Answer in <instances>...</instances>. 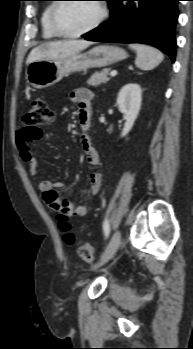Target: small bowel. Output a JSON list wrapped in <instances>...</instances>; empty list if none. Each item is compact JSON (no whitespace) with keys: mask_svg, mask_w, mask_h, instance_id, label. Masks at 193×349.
<instances>
[{"mask_svg":"<svg viewBox=\"0 0 193 349\" xmlns=\"http://www.w3.org/2000/svg\"><path fill=\"white\" fill-rule=\"evenodd\" d=\"M70 99L78 106V118L84 131L88 130L91 121V101L93 93L86 88H78L70 94ZM27 127H22L16 136V145L22 160L28 165L29 172L38 181L39 189L45 202L56 212H64L69 219L85 216L89 209L70 201L60 195V190L64 188L62 182H50L39 180V167L34 157L30 144L36 140ZM81 145L87 162L92 166L100 163L99 154L92 144L90 136L84 133L81 137ZM102 185V176L99 172H94L89 176V193L94 196L98 194Z\"/></svg>","mask_w":193,"mask_h":349,"instance_id":"1","label":"small bowel"}]
</instances>
